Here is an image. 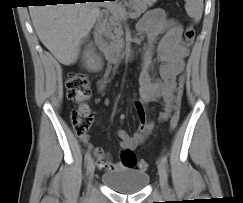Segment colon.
Here are the masks:
<instances>
[{"label":"colon","mask_w":243,"mask_h":203,"mask_svg":"<svg viewBox=\"0 0 243 203\" xmlns=\"http://www.w3.org/2000/svg\"><path fill=\"white\" fill-rule=\"evenodd\" d=\"M195 29L192 25H187L184 31V38L188 46H191L195 40ZM184 81L180 78L176 95V110L170 119V128L175 130L179 123V104L183 92ZM67 97L69 100L78 104L71 113L72 125L78 136H85L93 122V115L84 105L90 96V85L86 74L82 72H72L69 74L66 83ZM121 161L125 167H132L136 164L134 152L130 149H124L121 153ZM140 170H146L148 163L146 160H140L138 163Z\"/></svg>","instance_id":"colon-1"}]
</instances>
